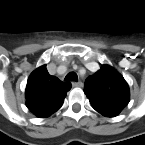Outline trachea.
I'll return each mask as SVG.
<instances>
[{
    "label": "trachea",
    "instance_id": "obj_1",
    "mask_svg": "<svg viewBox=\"0 0 145 145\" xmlns=\"http://www.w3.org/2000/svg\"><path fill=\"white\" fill-rule=\"evenodd\" d=\"M65 80H74V81H78V76L75 72H70L66 75Z\"/></svg>",
    "mask_w": 145,
    "mask_h": 145
}]
</instances>
